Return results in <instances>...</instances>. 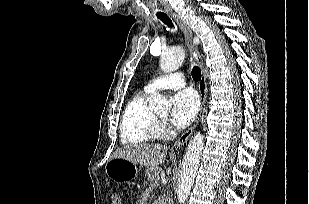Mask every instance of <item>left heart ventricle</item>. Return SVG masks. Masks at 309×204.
Segmentation results:
<instances>
[{"instance_id":"left-heart-ventricle-1","label":"left heart ventricle","mask_w":309,"mask_h":204,"mask_svg":"<svg viewBox=\"0 0 309 204\" xmlns=\"http://www.w3.org/2000/svg\"><path fill=\"white\" fill-rule=\"evenodd\" d=\"M166 117H167L166 115H161L160 116L161 119H166Z\"/></svg>"}]
</instances>
